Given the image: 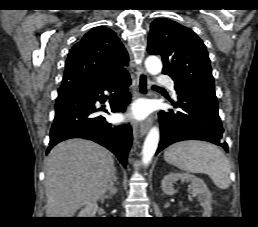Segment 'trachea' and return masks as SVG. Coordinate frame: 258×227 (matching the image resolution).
<instances>
[{
    "label": "trachea",
    "instance_id": "obj_1",
    "mask_svg": "<svg viewBox=\"0 0 258 227\" xmlns=\"http://www.w3.org/2000/svg\"><path fill=\"white\" fill-rule=\"evenodd\" d=\"M154 88H157L158 86H153Z\"/></svg>",
    "mask_w": 258,
    "mask_h": 227
}]
</instances>
